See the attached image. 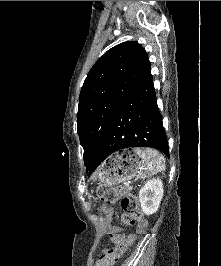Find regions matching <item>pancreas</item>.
Listing matches in <instances>:
<instances>
[{
    "mask_svg": "<svg viewBox=\"0 0 221 266\" xmlns=\"http://www.w3.org/2000/svg\"><path fill=\"white\" fill-rule=\"evenodd\" d=\"M126 189H127V190H130V189H131V187H129V186H126Z\"/></svg>",
    "mask_w": 221,
    "mask_h": 266,
    "instance_id": "obj_1",
    "label": "pancreas"
}]
</instances>
